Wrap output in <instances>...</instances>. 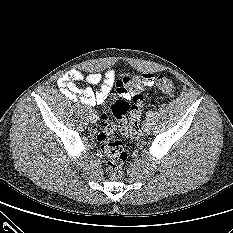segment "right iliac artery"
I'll return each instance as SVG.
<instances>
[{"mask_svg":"<svg viewBox=\"0 0 233 233\" xmlns=\"http://www.w3.org/2000/svg\"><path fill=\"white\" fill-rule=\"evenodd\" d=\"M85 111L88 112V113L92 112V110H91V108L89 106H85Z\"/></svg>","mask_w":233,"mask_h":233,"instance_id":"82829eb1","label":"right iliac artery"}]
</instances>
